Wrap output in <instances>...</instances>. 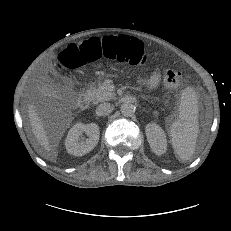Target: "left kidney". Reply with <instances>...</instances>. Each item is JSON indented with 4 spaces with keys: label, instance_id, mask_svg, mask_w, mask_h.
<instances>
[{
    "label": "left kidney",
    "instance_id": "1",
    "mask_svg": "<svg viewBox=\"0 0 231 231\" xmlns=\"http://www.w3.org/2000/svg\"><path fill=\"white\" fill-rule=\"evenodd\" d=\"M145 132L151 150L157 155L164 154L167 150V140L163 129L155 123H149Z\"/></svg>",
    "mask_w": 231,
    "mask_h": 231
}]
</instances>
